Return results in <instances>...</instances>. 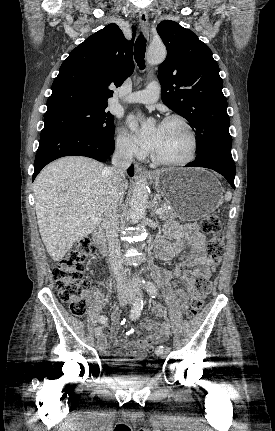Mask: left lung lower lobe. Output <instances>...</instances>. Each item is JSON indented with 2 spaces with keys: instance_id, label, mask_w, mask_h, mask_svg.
Returning <instances> with one entry per match:
<instances>
[{
  "instance_id": "0a47b994",
  "label": "left lung lower lobe",
  "mask_w": 275,
  "mask_h": 431,
  "mask_svg": "<svg viewBox=\"0 0 275 431\" xmlns=\"http://www.w3.org/2000/svg\"><path fill=\"white\" fill-rule=\"evenodd\" d=\"M186 167H204L217 171L223 175L230 183L232 188H235V164L230 150L212 151L187 164Z\"/></svg>"
}]
</instances>
